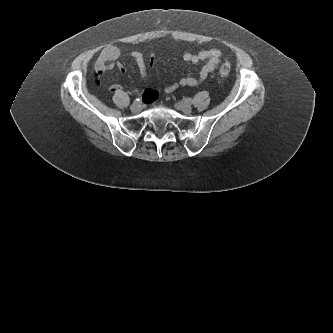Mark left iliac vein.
<instances>
[{"instance_id":"left-iliac-vein-1","label":"left iliac vein","mask_w":333,"mask_h":333,"mask_svg":"<svg viewBox=\"0 0 333 333\" xmlns=\"http://www.w3.org/2000/svg\"><path fill=\"white\" fill-rule=\"evenodd\" d=\"M175 106L178 110H181L185 114H190L192 112V107L189 104L184 103L182 101L177 102Z\"/></svg>"}]
</instances>
